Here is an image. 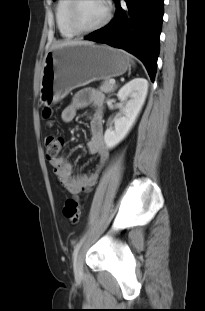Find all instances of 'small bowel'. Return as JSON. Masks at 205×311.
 Returning a JSON list of instances; mask_svg holds the SVG:
<instances>
[{
  "label": "small bowel",
  "instance_id": "small-bowel-1",
  "mask_svg": "<svg viewBox=\"0 0 205 311\" xmlns=\"http://www.w3.org/2000/svg\"><path fill=\"white\" fill-rule=\"evenodd\" d=\"M103 94L95 89L87 88L77 92L71 102L62 110L61 119L65 123L72 122L77 112L88 106L94 108V113L89 119L90 139L87 149L90 154L97 156V169L91 173L74 175L72 164L63 156L50 161L57 180L73 195L90 190L96 183L100 169L109 159V151L104 141L103 128Z\"/></svg>",
  "mask_w": 205,
  "mask_h": 311
}]
</instances>
